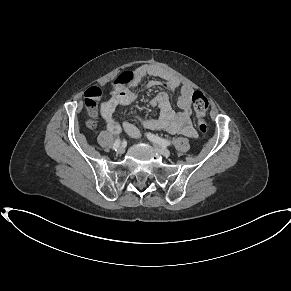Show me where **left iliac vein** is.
Segmentation results:
<instances>
[{"mask_svg": "<svg viewBox=\"0 0 291 291\" xmlns=\"http://www.w3.org/2000/svg\"><path fill=\"white\" fill-rule=\"evenodd\" d=\"M154 147L161 155H163L165 157H169L171 155L170 151L167 148H165L159 144L154 143Z\"/></svg>", "mask_w": 291, "mask_h": 291, "instance_id": "1", "label": "left iliac vein"}]
</instances>
